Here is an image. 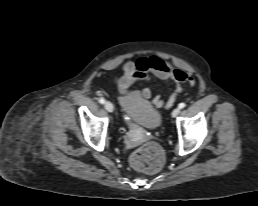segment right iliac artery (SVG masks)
I'll list each match as a JSON object with an SVG mask.
<instances>
[{
    "label": "right iliac artery",
    "mask_w": 258,
    "mask_h": 206,
    "mask_svg": "<svg viewBox=\"0 0 258 206\" xmlns=\"http://www.w3.org/2000/svg\"><path fill=\"white\" fill-rule=\"evenodd\" d=\"M99 102H100L101 104H104V103H105V99H104V98H100V99H99Z\"/></svg>",
    "instance_id": "right-iliac-artery-1"
}]
</instances>
